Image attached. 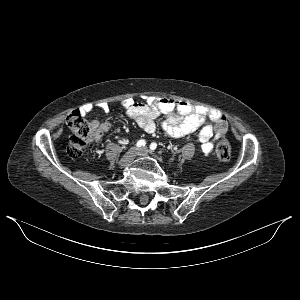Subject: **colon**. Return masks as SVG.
Instances as JSON below:
<instances>
[{
    "mask_svg": "<svg viewBox=\"0 0 300 300\" xmlns=\"http://www.w3.org/2000/svg\"><path fill=\"white\" fill-rule=\"evenodd\" d=\"M66 124L72 131L67 153L73 159L80 158L84 154L93 135L91 124L79 110H74L67 116ZM212 126L217 132L225 131L227 128L225 117L221 115L213 117ZM216 154L219 159L223 161L228 160L231 155L229 142L220 140L216 146Z\"/></svg>",
    "mask_w": 300,
    "mask_h": 300,
    "instance_id": "5ec220e1",
    "label": "colon"
}]
</instances>
